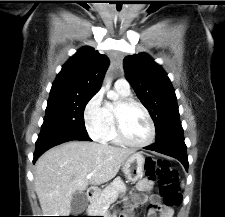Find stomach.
Segmentation results:
<instances>
[{
  "mask_svg": "<svg viewBox=\"0 0 225 217\" xmlns=\"http://www.w3.org/2000/svg\"><path fill=\"white\" fill-rule=\"evenodd\" d=\"M145 157L141 153H134L129 156L122 165V171L126 178L136 182L144 175Z\"/></svg>",
  "mask_w": 225,
  "mask_h": 217,
  "instance_id": "obj_1",
  "label": "stomach"
}]
</instances>
